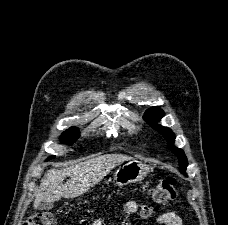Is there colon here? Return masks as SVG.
Here are the masks:
<instances>
[{"label":"colon","mask_w":228,"mask_h":225,"mask_svg":"<svg viewBox=\"0 0 228 225\" xmlns=\"http://www.w3.org/2000/svg\"><path fill=\"white\" fill-rule=\"evenodd\" d=\"M177 181L173 177L162 178L150 188L157 202L165 204L177 197ZM53 215L49 211H38L32 215L25 225H53ZM75 225H89L88 222L76 223Z\"/></svg>","instance_id":"1"}]
</instances>
